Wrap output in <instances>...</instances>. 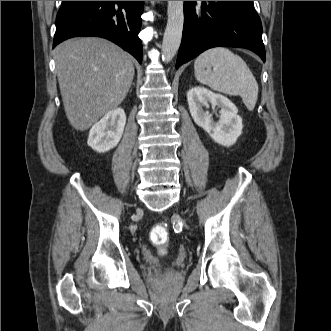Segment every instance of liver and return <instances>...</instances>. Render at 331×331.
<instances>
[{
	"mask_svg": "<svg viewBox=\"0 0 331 331\" xmlns=\"http://www.w3.org/2000/svg\"><path fill=\"white\" fill-rule=\"evenodd\" d=\"M66 117L85 131L125 99L134 77L131 56L108 40L71 38L55 48Z\"/></svg>",
	"mask_w": 331,
	"mask_h": 331,
	"instance_id": "1",
	"label": "liver"
}]
</instances>
